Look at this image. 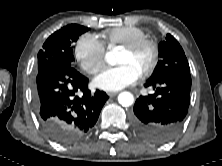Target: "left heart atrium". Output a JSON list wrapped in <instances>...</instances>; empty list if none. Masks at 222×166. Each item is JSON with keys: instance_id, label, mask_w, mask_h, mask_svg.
Segmentation results:
<instances>
[{"instance_id": "obj_1", "label": "left heart atrium", "mask_w": 222, "mask_h": 166, "mask_svg": "<svg viewBox=\"0 0 222 166\" xmlns=\"http://www.w3.org/2000/svg\"><path fill=\"white\" fill-rule=\"evenodd\" d=\"M141 72L132 64L124 63L103 69L95 78L94 85L105 91H118L135 83Z\"/></svg>"}]
</instances>
